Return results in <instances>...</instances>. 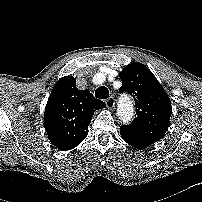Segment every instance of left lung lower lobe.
I'll return each instance as SVG.
<instances>
[{
  "label": "left lung lower lobe",
  "instance_id": "1",
  "mask_svg": "<svg viewBox=\"0 0 202 202\" xmlns=\"http://www.w3.org/2000/svg\"><path fill=\"white\" fill-rule=\"evenodd\" d=\"M120 133H121L122 139L126 143H128L129 145L135 148L144 149L156 142V140L154 139H148V138H143V137L133 135L122 128L120 129Z\"/></svg>",
  "mask_w": 202,
  "mask_h": 202
}]
</instances>
